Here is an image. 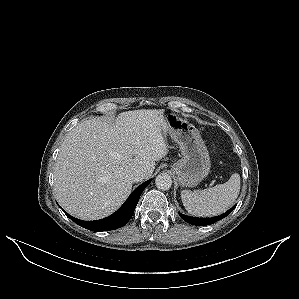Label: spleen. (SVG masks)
<instances>
[{"label":"spleen","instance_id":"3e777b00","mask_svg":"<svg viewBox=\"0 0 299 299\" xmlns=\"http://www.w3.org/2000/svg\"><path fill=\"white\" fill-rule=\"evenodd\" d=\"M239 191L240 176L234 173L226 183L212 188L199 192L182 190L181 199L189 214L210 217L225 212L235 202Z\"/></svg>","mask_w":299,"mask_h":299}]
</instances>
